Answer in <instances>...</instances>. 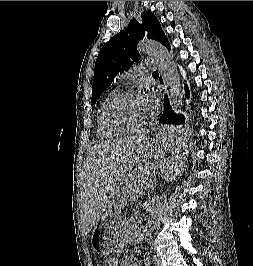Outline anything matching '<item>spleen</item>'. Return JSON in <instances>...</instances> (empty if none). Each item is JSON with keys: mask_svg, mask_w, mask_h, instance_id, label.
I'll list each match as a JSON object with an SVG mask.
<instances>
[{"mask_svg": "<svg viewBox=\"0 0 253 266\" xmlns=\"http://www.w3.org/2000/svg\"><path fill=\"white\" fill-rule=\"evenodd\" d=\"M174 128L176 132H183L185 127L183 123H176ZM166 144L171 156H163L157 165H153L152 171L153 174H165L164 179L170 180L176 169H184L183 154H190L191 148L188 138H167Z\"/></svg>", "mask_w": 253, "mask_h": 266, "instance_id": "obj_1", "label": "spleen"}]
</instances>
